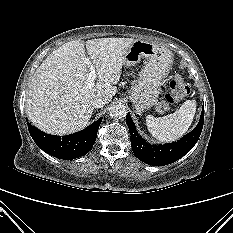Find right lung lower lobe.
I'll return each instance as SVG.
<instances>
[{
	"mask_svg": "<svg viewBox=\"0 0 233 233\" xmlns=\"http://www.w3.org/2000/svg\"><path fill=\"white\" fill-rule=\"evenodd\" d=\"M102 119L100 117L85 129L66 136L46 134L30 123H28V129L36 145L44 152L59 159L71 160L81 157L91 150Z\"/></svg>",
	"mask_w": 233,
	"mask_h": 233,
	"instance_id": "98d812e1",
	"label": "right lung lower lobe"
}]
</instances>
